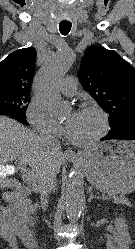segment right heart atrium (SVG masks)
<instances>
[{"mask_svg":"<svg viewBox=\"0 0 135 249\" xmlns=\"http://www.w3.org/2000/svg\"><path fill=\"white\" fill-rule=\"evenodd\" d=\"M26 118L31 127L39 134L53 137L63 135V128L49 115L44 105L37 99H32L27 111Z\"/></svg>","mask_w":135,"mask_h":249,"instance_id":"right-heart-atrium-1","label":"right heart atrium"}]
</instances>
